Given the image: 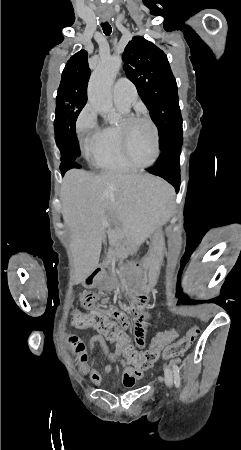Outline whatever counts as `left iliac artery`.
Masks as SVG:
<instances>
[{
    "label": "left iliac artery",
    "mask_w": 241,
    "mask_h": 450,
    "mask_svg": "<svg viewBox=\"0 0 241 450\" xmlns=\"http://www.w3.org/2000/svg\"><path fill=\"white\" fill-rule=\"evenodd\" d=\"M172 371H173V374H174L175 386L177 388H179L180 387V383H181L180 374H179V367L177 366V364L174 361L172 362Z\"/></svg>",
    "instance_id": "obj_1"
}]
</instances>
